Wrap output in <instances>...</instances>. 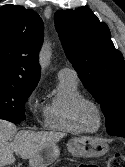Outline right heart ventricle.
I'll return each mask as SVG.
<instances>
[{"mask_svg":"<svg viewBox=\"0 0 125 167\" xmlns=\"http://www.w3.org/2000/svg\"><path fill=\"white\" fill-rule=\"evenodd\" d=\"M81 97L77 79L58 78L56 93L45 106L44 128L68 134L80 133L72 117V107Z\"/></svg>","mask_w":125,"mask_h":167,"instance_id":"1","label":"right heart ventricle"}]
</instances>
